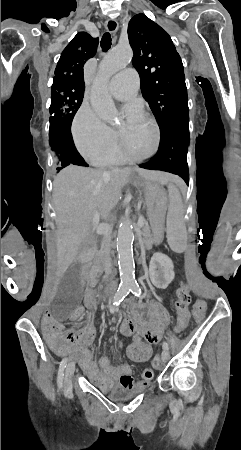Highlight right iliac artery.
I'll use <instances>...</instances> for the list:
<instances>
[{
  "mask_svg": "<svg viewBox=\"0 0 241 450\" xmlns=\"http://www.w3.org/2000/svg\"><path fill=\"white\" fill-rule=\"evenodd\" d=\"M131 291V287L129 286H123L121 288H119L114 296V305L118 306L123 299L129 294V292ZM67 361L65 359L62 360L60 367H59V373H58V377H57V384L59 389L62 387L63 385V378H64V369L66 367Z\"/></svg>",
  "mask_w": 241,
  "mask_h": 450,
  "instance_id": "82829eb1",
  "label": "right iliac artery"
}]
</instances>
